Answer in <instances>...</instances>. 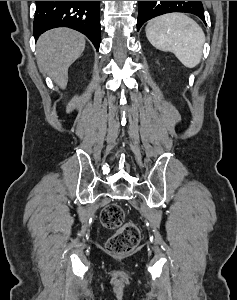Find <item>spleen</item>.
Segmentation results:
<instances>
[{
	"instance_id": "1",
	"label": "spleen",
	"mask_w": 237,
	"mask_h": 300,
	"mask_svg": "<svg viewBox=\"0 0 237 300\" xmlns=\"http://www.w3.org/2000/svg\"><path fill=\"white\" fill-rule=\"evenodd\" d=\"M146 37L159 51H170L188 69H194L202 59L205 35L190 17L183 13H168L148 21Z\"/></svg>"
}]
</instances>
